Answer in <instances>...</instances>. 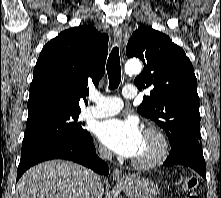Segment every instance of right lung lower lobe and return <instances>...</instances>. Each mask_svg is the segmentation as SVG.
Segmentation results:
<instances>
[{
  "mask_svg": "<svg viewBox=\"0 0 221 198\" xmlns=\"http://www.w3.org/2000/svg\"><path fill=\"white\" fill-rule=\"evenodd\" d=\"M92 137L84 139L51 138L35 143L21 152L17 180L31 166L51 159H67L103 175L109 174L108 165L97 155Z\"/></svg>",
  "mask_w": 221,
  "mask_h": 198,
  "instance_id": "98d812e1",
  "label": "right lung lower lobe"
}]
</instances>
